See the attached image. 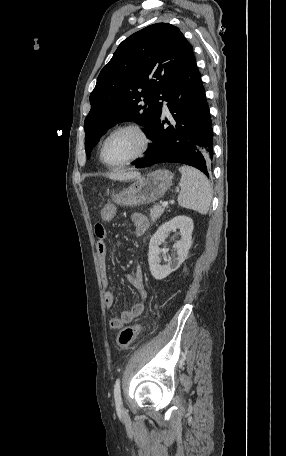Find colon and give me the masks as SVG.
Masks as SVG:
<instances>
[{"mask_svg":"<svg viewBox=\"0 0 286 456\" xmlns=\"http://www.w3.org/2000/svg\"><path fill=\"white\" fill-rule=\"evenodd\" d=\"M142 325H133L124 328L117 337V345L120 348L128 347L139 335Z\"/></svg>","mask_w":286,"mask_h":456,"instance_id":"1","label":"colon"}]
</instances>
